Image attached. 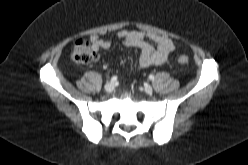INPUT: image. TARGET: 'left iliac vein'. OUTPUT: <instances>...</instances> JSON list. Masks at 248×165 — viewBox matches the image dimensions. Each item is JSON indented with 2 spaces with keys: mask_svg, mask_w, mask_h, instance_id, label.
<instances>
[{
  "mask_svg": "<svg viewBox=\"0 0 248 165\" xmlns=\"http://www.w3.org/2000/svg\"><path fill=\"white\" fill-rule=\"evenodd\" d=\"M144 91L147 93V94H151L153 92V88L152 86L150 85H145L144 86Z\"/></svg>",
  "mask_w": 248,
  "mask_h": 165,
  "instance_id": "left-iliac-vein-1",
  "label": "left iliac vein"
}]
</instances>
